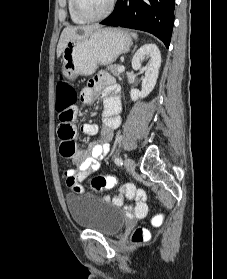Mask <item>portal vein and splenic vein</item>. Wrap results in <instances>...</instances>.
Returning <instances> with one entry per match:
<instances>
[{
    "instance_id": "obj_1",
    "label": "portal vein and splenic vein",
    "mask_w": 227,
    "mask_h": 279,
    "mask_svg": "<svg viewBox=\"0 0 227 279\" xmlns=\"http://www.w3.org/2000/svg\"><path fill=\"white\" fill-rule=\"evenodd\" d=\"M124 69H125V67H124L123 65H120V66L117 68V70H118L119 72H123Z\"/></svg>"
}]
</instances>
